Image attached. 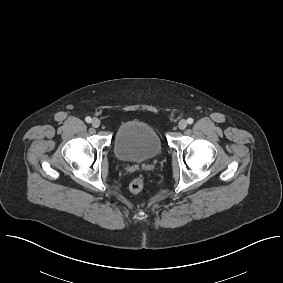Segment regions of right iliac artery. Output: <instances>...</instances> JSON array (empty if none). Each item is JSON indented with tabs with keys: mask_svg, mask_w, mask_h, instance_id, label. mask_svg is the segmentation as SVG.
Masks as SVG:
<instances>
[{
	"mask_svg": "<svg viewBox=\"0 0 283 283\" xmlns=\"http://www.w3.org/2000/svg\"><path fill=\"white\" fill-rule=\"evenodd\" d=\"M85 121H86L87 123H90V122L92 121V119H91V117L88 116V117L85 118Z\"/></svg>",
	"mask_w": 283,
	"mask_h": 283,
	"instance_id": "82829eb1",
	"label": "right iliac artery"
}]
</instances>
